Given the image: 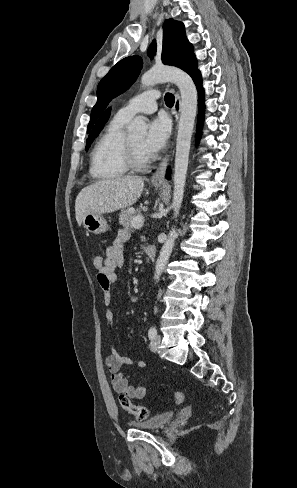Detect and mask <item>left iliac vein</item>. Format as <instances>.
Here are the masks:
<instances>
[{
	"label": "left iliac vein",
	"mask_w": 297,
	"mask_h": 488,
	"mask_svg": "<svg viewBox=\"0 0 297 488\" xmlns=\"http://www.w3.org/2000/svg\"><path fill=\"white\" fill-rule=\"evenodd\" d=\"M160 343H161V337L160 335H156L155 338H153L150 342V350L152 352H157Z\"/></svg>",
	"instance_id": "left-iliac-vein-1"
}]
</instances>
